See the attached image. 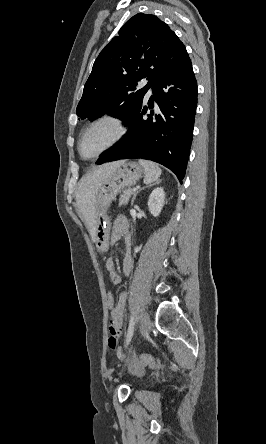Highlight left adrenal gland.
<instances>
[{"mask_svg": "<svg viewBox=\"0 0 266 444\" xmlns=\"http://www.w3.org/2000/svg\"><path fill=\"white\" fill-rule=\"evenodd\" d=\"M160 182H161L160 180H157L154 184H151V185H149V186H145V187L141 188L140 190H138V191L134 194V196H133V198H132L131 205L134 204V200H135L137 194H138L141 190H143V189H145V188H147V187L153 186V185H155V184H159Z\"/></svg>", "mask_w": 266, "mask_h": 444, "instance_id": "a2214340", "label": "left adrenal gland"}]
</instances>
